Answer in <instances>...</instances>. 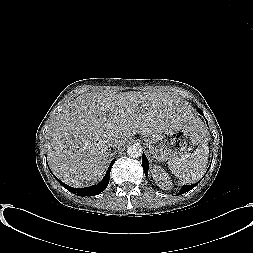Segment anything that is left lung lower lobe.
Returning a JSON list of instances; mask_svg holds the SVG:
<instances>
[{"instance_id":"obj_1","label":"left lung lower lobe","mask_w":253,"mask_h":253,"mask_svg":"<svg viewBox=\"0 0 253 253\" xmlns=\"http://www.w3.org/2000/svg\"><path fill=\"white\" fill-rule=\"evenodd\" d=\"M198 112L203 115L202 110L199 108ZM204 116V115H203ZM142 166L145 172V175L148 174V168H149V164H148V160L146 158V156L144 154H142ZM198 183L192 184V185H184L180 191V194H183L185 192L190 191L191 189H193Z\"/></svg>"}]
</instances>
